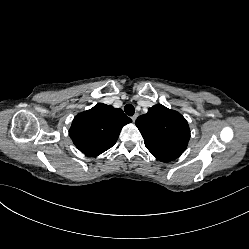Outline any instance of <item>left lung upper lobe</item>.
<instances>
[{
	"instance_id": "left-lung-upper-lobe-1",
	"label": "left lung upper lobe",
	"mask_w": 249,
	"mask_h": 249,
	"mask_svg": "<svg viewBox=\"0 0 249 249\" xmlns=\"http://www.w3.org/2000/svg\"><path fill=\"white\" fill-rule=\"evenodd\" d=\"M136 126L144 138L146 148L160 161L178 158L186 149L190 129L178 112L156 104L139 116Z\"/></svg>"
}]
</instances>
